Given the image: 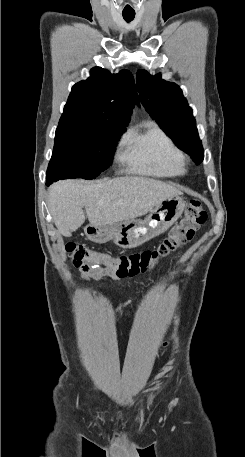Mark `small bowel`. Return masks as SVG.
I'll return each mask as SVG.
<instances>
[{
  "instance_id": "obj_1",
  "label": "small bowel",
  "mask_w": 245,
  "mask_h": 457,
  "mask_svg": "<svg viewBox=\"0 0 245 457\" xmlns=\"http://www.w3.org/2000/svg\"><path fill=\"white\" fill-rule=\"evenodd\" d=\"M104 277H109L115 281H120L121 278L117 277L116 274L108 268H99V269H87L83 272L82 278L84 280H98ZM133 307V302L131 300H127L123 303H121L116 312L115 319L119 320L120 317L125 316L127 310Z\"/></svg>"
}]
</instances>
